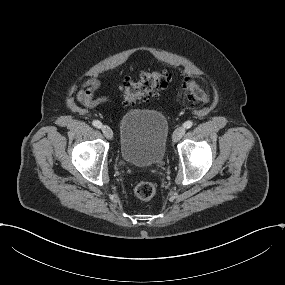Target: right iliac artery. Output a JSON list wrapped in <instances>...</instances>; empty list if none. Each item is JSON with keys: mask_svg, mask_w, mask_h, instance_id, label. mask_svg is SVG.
Listing matches in <instances>:
<instances>
[{"mask_svg": "<svg viewBox=\"0 0 285 285\" xmlns=\"http://www.w3.org/2000/svg\"><path fill=\"white\" fill-rule=\"evenodd\" d=\"M92 125L95 126L96 128H101L102 127V123L98 120H95L92 122Z\"/></svg>", "mask_w": 285, "mask_h": 285, "instance_id": "1", "label": "right iliac artery"}]
</instances>
